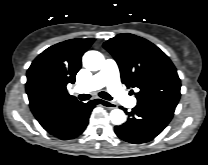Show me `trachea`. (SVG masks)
Returning a JSON list of instances; mask_svg holds the SVG:
<instances>
[{"instance_id": "obj_1", "label": "trachea", "mask_w": 208, "mask_h": 165, "mask_svg": "<svg viewBox=\"0 0 208 165\" xmlns=\"http://www.w3.org/2000/svg\"><path fill=\"white\" fill-rule=\"evenodd\" d=\"M99 96L102 97L103 99H106V100H112L113 98L106 92H100L99 93ZM90 98V95L89 94H80L79 95V99L81 101H85V100H88Z\"/></svg>"}]
</instances>
